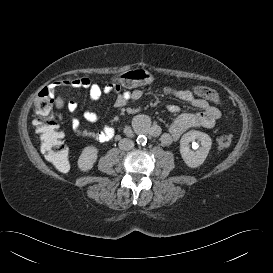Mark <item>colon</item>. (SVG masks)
I'll return each instance as SVG.
<instances>
[{"instance_id":"1","label":"colon","mask_w":273,"mask_h":273,"mask_svg":"<svg viewBox=\"0 0 273 273\" xmlns=\"http://www.w3.org/2000/svg\"><path fill=\"white\" fill-rule=\"evenodd\" d=\"M153 80L154 76L151 72L137 69L116 75L113 82L121 88L149 84ZM194 91L214 104L220 103L218 93L211 88L196 86ZM35 111L38 118L34 120L33 125L40 137V149L44 157L53 163L60 172H67L69 170L68 152L64 144L63 133L52 116L50 89L44 88L38 94L35 101ZM217 142L220 147L227 148L232 143V137L224 134L218 138Z\"/></svg>"}]
</instances>
